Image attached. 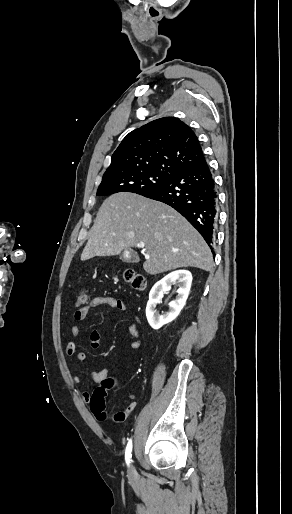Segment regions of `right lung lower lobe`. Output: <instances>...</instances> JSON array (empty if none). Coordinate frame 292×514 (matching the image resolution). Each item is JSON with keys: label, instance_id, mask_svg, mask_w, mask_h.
Wrapping results in <instances>:
<instances>
[{"label": "right lung lower lobe", "instance_id": "obj_1", "mask_svg": "<svg viewBox=\"0 0 292 514\" xmlns=\"http://www.w3.org/2000/svg\"><path fill=\"white\" fill-rule=\"evenodd\" d=\"M143 196L164 202L182 214L211 247L217 221V193L206 159L174 173Z\"/></svg>", "mask_w": 292, "mask_h": 514}]
</instances>
